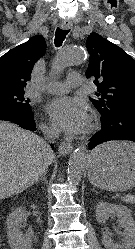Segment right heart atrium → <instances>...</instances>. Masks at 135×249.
Segmentation results:
<instances>
[{
	"label": "right heart atrium",
	"mask_w": 135,
	"mask_h": 249,
	"mask_svg": "<svg viewBox=\"0 0 135 249\" xmlns=\"http://www.w3.org/2000/svg\"><path fill=\"white\" fill-rule=\"evenodd\" d=\"M43 129H44L46 132H49V133L54 132L53 127H51V126H49V125H43Z\"/></svg>",
	"instance_id": "right-heart-atrium-1"
}]
</instances>
